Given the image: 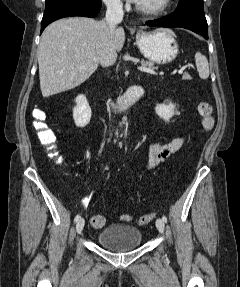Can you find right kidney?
I'll return each mask as SVG.
<instances>
[{
    "instance_id": "right-kidney-1",
    "label": "right kidney",
    "mask_w": 240,
    "mask_h": 287,
    "mask_svg": "<svg viewBox=\"0 0 240 287\" xmlns=\"http://www.w3.org/2000/svg\"><path fill=\"white\" fill-rule=\"evenodd\" d=\"M76 106L73 108V119L77 127L83 128L89 124L91 119V108L85 95L76 97Z\"/></svg>"
}]
</instances>
